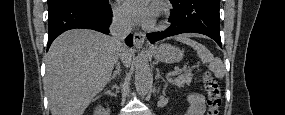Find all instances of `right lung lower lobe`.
I'll return each mask as SVG.
<instances>
[{
	"instance_id": "obj_1",
	"label": "right lung lower lobe",
	"mask_w": 285,
	"mask_h": 115,
	"mask_svg": "<svg viewBox=\"0 0 285 115\" xmlns=\"http://www.w3.org/2000/svg\"><path fill=\"white\" fill-rule=\"evenodd\" d=\"M48 46L61 33L74 29H93L105 34L109 33L112 21V11L109 4L105 6H92L81 2H66L48 9ZM127 45H133L132 35L125 39Z\"/></svg>"
}]
</instances>
